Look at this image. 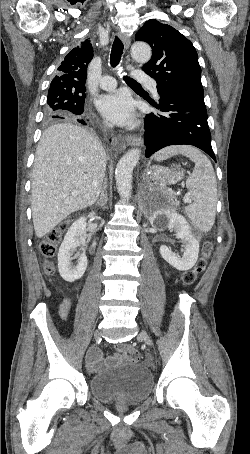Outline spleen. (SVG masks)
<instances>
[{
	"mask_svg": "<svg viewBox=\"0 0 250 454\" xmlns=\"http://www.w3.org/2000/svg\"><path fill=\"white\" fill-rule=\"evenodd\" d=\"M177 154L189 157L195 167L186 181L192 202L185 207L191 222L202 232L211 230L216 215L217 182L210 160L198 149L188 145L166 147L154 156L160 162Z\"/></svg>",
	"mask_w": 250,
	"mask_h": 454,
	"instance_id": "1",
	"label": "spleen"
}]
</instances>
